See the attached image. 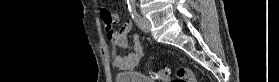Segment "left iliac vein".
<instances>
[{
	"instance_id": "4c4485c4",
	"label": "left iliac vein",
	"mask_w": 279,
	"mask_h": 82,
	"mask_svg": "<svg viewBox=\"0 0 279 82\" xmlns=\"http://www.w3.org/2000/svg\"><path fill=\"white\" fill-rule=\"evenodd\" d=\"M137 25L142 31L146 33L150 32L151 25L149 20L146 17L141 16L140 19L137 21Z\"/></svg>"
}]
</instances>
